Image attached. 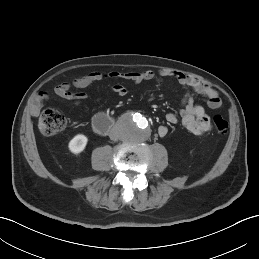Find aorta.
Masks as SVG:
<instances>
[{
    "label": "aorta",
    "instance_id": "aorta-1",
    "mask_svg": "<svg viewBox=\"0 0 259 259\" xmlns=\"http://www.w3.org/2000/svg\"><path fill=\"white\" fill-rule=\"evenodd\" d=\"M121 138L128 142L138 143L145 141L150 135V125L142 114L129 113L119 122Z\"/></svg>",
    "mask_w": 259,
    "mask_h": 259
}]
</instances>
